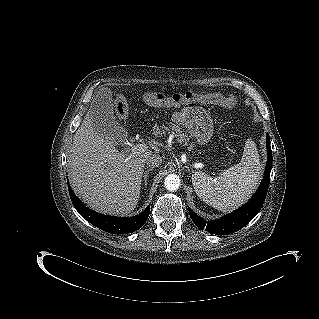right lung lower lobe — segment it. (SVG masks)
I'll use <instances>...</instances> for the list:
<instances>
[{
  "label": "right lung lower lobe",
  "mask_w": 319,
  "mask_h": 319,
  "mask_svg": "<svg viewBox=\"0 0 319 319\" xmlns=\"http://www.w3.org/2000/svg\"><path fill=\"white\" fill-rule=\"evenodd\" d=\"M68 189L71 197V201L76 208V210L91 224L100 228L103 231L112 234H127L134 232L141 228L148 219L150 212V205L134 217L124 218V217H114L107 216L100 213H97L85 205L76 197L72 192L71 187L68 182Z\"/></svg>",
  "instance_id": "right-lung-lower-lobe-1"
}]
</instances>
